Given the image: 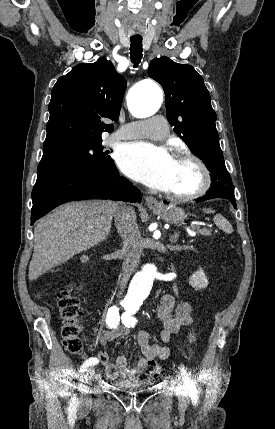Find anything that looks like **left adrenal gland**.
I'll return each instance as SVG.
<instances>
[{
	"mask_svg": "<svg viewBox=\"0 0 275 429\" xmlns=\"http://www.w3.org/2000/svg\"><path fill=\"white\" fill-rule=\"evenodd\" d=\"M179 237V233H174L173 235H171L170 241L171 243H176Z\"/></svg>",
	"mask_w": 275,
	"mask_h": 429,
	"instance_id": "1",
	"label": "left adrenal gland"
}]
</instances>
